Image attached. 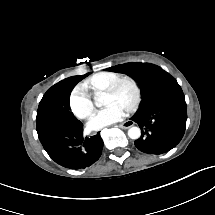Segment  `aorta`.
Segmentation results:
<instances>
[{
    "label": "aorta",
    "instance_id": "762f6f07",
    "mask_svg": "<svg viewBox=\"0 0 215 215\" xmlns=\"http://www.w3.org/2000/svg\"><path fill=\"white\" fill-rule=\"evenodd\" d=\"M102 102L100 100H98L97 102V105H101ZM140 134H141V131L138 127L136 126H133V127H130L128 129V136L131 138V139H137L140 137Z\"/></svg>",
    "mask_w": 215,
    "mask_h": 215
}]
</instances>
